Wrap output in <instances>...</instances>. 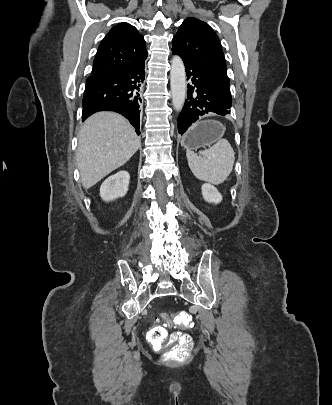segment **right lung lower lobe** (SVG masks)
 Returning a JSON list of instances; mask_svg holds the SVG:
<instances>
[{
    "instance_id": "obj_1",
    "label": "right lung lower lobe",
    "mask_w": 332,
    "mask_h": 405,
    "mask_svg": "<svg viewBox=\"0 0 332 405\" xmlns=\"http://www.w3.org/2000/svg\"><path fill=\"white\" fill-rule=\"evenodd\" d=\"M145 60L117 71L95 73L86 80L83 97V119L98 111H114L124 115L139 131L140 90L145 78Z\"/></svg>"
}]
</instances>
